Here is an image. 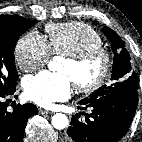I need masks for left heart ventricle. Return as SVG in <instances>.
Here are the masks:
<instances>
[{
	"label": "left heart ventricle",
	"mask_w": 142,
	"mask_h": 142,
	"mask_svg": "<svg viewBox=\"0 0 142 142\" xmlns=\"http://www.w3.org/2000/svg\"><path fill=\"white\" fill-rule=\"evenodd\" d=\"M59 70L69 75L73 82H89L99 74L101 70V61L99 59H94L83 66L77 67L65 60Z\"/></svg>",
	"instance_id": "obj_1"
}]
</instances>
